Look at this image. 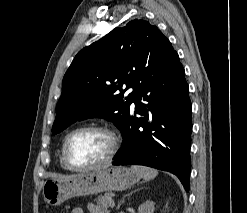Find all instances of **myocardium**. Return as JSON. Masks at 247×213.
<instances>
[{
	"instance_id": "f54148a6",
	"label": "myocardium",
	"mask_w": 247,
	"mask_h": 213,
	"mask_svg": "<svg viewBox=\"0 0 247 213\" xmlns=\"http://www.w3.org/2000/svg\"><path fill=\"white\" fill-rule=\"evenodd\" d=\"M83 131H100L109 136L111 140L110 150L107 156L102 161L92 164V165H88V166H77L70 160L69 155H68V143L70 139L72 138V136H74L75 134L79 132H83ZM118 149H119V137L116 134V132L106 125L94 124V125L80 126L70 131L66 135L63 141L61 155H62V160H63L64 165L69 170L76 171V172H86V171H91L95 169H100L102 167L109 165L115 158L118 152Z\"/></svg>"
}]
</instances>
